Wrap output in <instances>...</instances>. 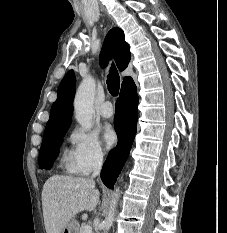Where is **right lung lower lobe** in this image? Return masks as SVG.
<instances>
[{"label":"right lung lower lobe","mask_w":227,"mask_h":233,"mask_svg":"<svg viewBox=\"0 0 227 233\" xmlns=\"http://www.w3.org/2000/svg\"><path fill=\"white\" fill-rule=\"evenodd\" d=\"M138 96L134 82L129 89L120 93L116 102L114 117L115 130L118 136L117 146L112 149L101 171L102 182L110 189L120 174L136 134Z\"/></svg>","instance_id":"right-lung-lower-lobe-1"}]
</instances>
